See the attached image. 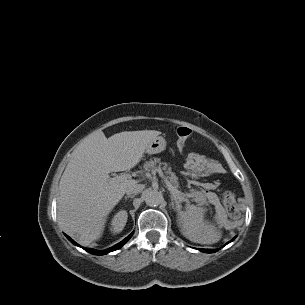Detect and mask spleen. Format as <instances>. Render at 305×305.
<instances>
[{"label": "spleen", "mask_w": 305, "mask_h": 305, "mask_svg": "<svg viewBox=\"0 0 305 305\" xmlns=\"http://www.w3.org/2000/svg\"><path fill=\"white\" fill-rule=\"evenodd\" d=\"M205 209L187 205L185 210L178 211L177 222L181 233L190 241L200 244H213L221 238L220 229L225 224L221 210L215 217V223L204 219Z\"/></svg>", "instance_id": "obj_1"}]
</instances>
